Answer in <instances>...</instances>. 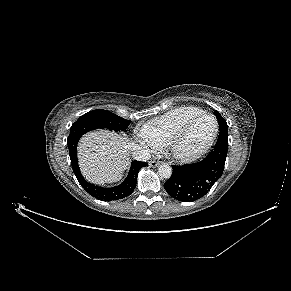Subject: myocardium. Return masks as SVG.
Wrapping results in <instances>:
<instances>
[{"mask_svg": "<svg viewBox=\"0 0 291 291\" xmlns=\"http://www.w3.org/2000/svg\"><path fill=\"white\" fill-rule=\"evenodd\" d=\"M204 116H209L211 118H213L214 123H215V128H214V132L211 136V138L209 139V141L199 150L193 152V153H182L179 150V145L181 143V141L184 139V137L186 136L188 130L190 129V127L201 117ZM218 131H219V123L218 120L216 118V116L212 113L209 112H202L194 117H192L191 119H189L167 142L166 147L170 153V155L177 161L182 162V163H187V162H191L194 161L200 157H202L206 152H208V150L212 147V145L214 144L217 136H218Z\"/></svg>", "mask_w": 291, "mask_h": 291, "instance_id": "myocardium-1", "label": "myocardium"}]
</instances>
